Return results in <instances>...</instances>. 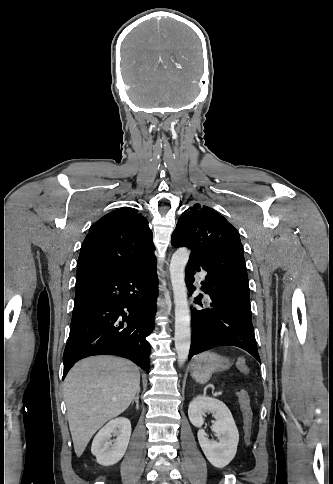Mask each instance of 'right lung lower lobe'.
I'll return each instance as SVG.
<instances>
[{
    "mask_svg": "<svg viewBox=\"0 0 333 484\" xmlns=\"http://www.w3.org/2000/svg\"><path fill=\"white\" fill-rule=\"evenodd\" d=\"M156 260L128 272L77 276L70 334L63 362L65 378L78 360L120 355L148 371L157 288Z\"/></svg>",
    "mask_w": 333,
    "mask_h": 484,
    "instance_id": "obj_1",
    "label": "right lung lower lobe"
}]
</instances>
